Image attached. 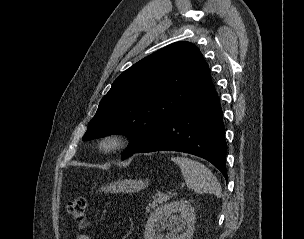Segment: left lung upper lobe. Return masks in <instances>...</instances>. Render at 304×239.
Listing matches in <instances>:
<instances>
[{
	"instance_id": "5c2ea615",
	"label": "left lung upper lobe",
	"mask_w": 304,
	"mask_h": 239,
	"mask_svg": "<svg viewBox=\"0 0 304 239\" xmlns=\"http://www.w3.org/2000/svg\"><path fill=\"white\" fill-rule=\"evenodd\" d=\"M209 80L208 64L195 45L185 41L170 44L114 81L83 140L123 133L132 143L123 158L146 144Z\"/></svg>"
}]
</instances>
